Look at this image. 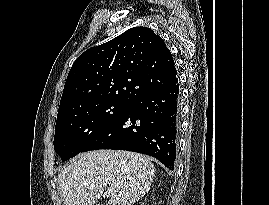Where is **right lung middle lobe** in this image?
<instances>
[{"label":"right lung middle lobe","instance_id":"1","mask_svg":"<svg viewBox=\"0 0 269 205\" xmlns=\"http://www.w3.org/2000/svg\"><path fill=\"white\" fill-rule=\"evenodd\" d=\"M128 104L105 101L57 119L53 142L55 152L62 161L76 156L119 116Z\"/></svg>","mask_w":269,"mask_h":205}]
</instances>
